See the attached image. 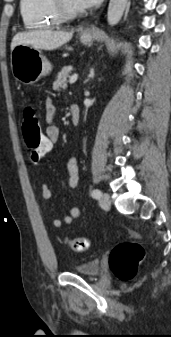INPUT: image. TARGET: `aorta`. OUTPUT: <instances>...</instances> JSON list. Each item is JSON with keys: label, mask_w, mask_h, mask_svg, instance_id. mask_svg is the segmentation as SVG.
<instances>
[{"label": "aorta", "mask_w": 171, "mask_h": 337, "mask_svg": "<svg viewBox=\"0 0 171 337\" xmlns=\"http://www.w3.org/2000/svg\"><path fill=\"white\" fill-rule=\"evenodd\" d=\"M128 0H110L107 12L109 25H116L123 16Z\"/></svg>", "instance_id": "aorta-1"}]
</instances>
